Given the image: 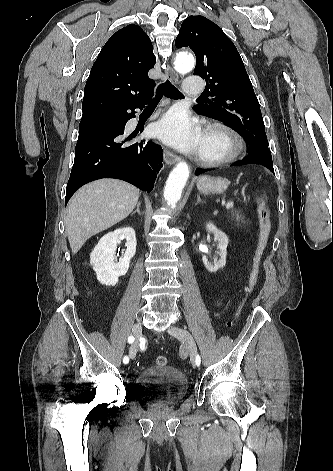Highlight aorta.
Returning <instances> with one entry per match:
<instances>
[{"instance_id": "762f6f07", "label": "aorta", "mask_w": 333, "mask_h": 471, "mask_svg": "<svg viewBox=\"0 0 333 471\" xmlns=\"http://www.w3.org/2000/svg\"><path fill=\"white\" fill-rule=\"evenodd\" d=\"M194 58L190 55L180 54L175 60V69L181 74H186L194 68ZM189 166L186 162H179L171 171L165 185L164 198L167 204L174 208L181 199L182 190L189 178Z\"/></svg>"}]
</instances>
